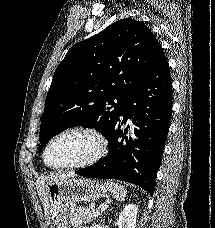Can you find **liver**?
I'll use <instances>...</instances> for the list:
<instances>
[{"label": "liver", "instance_id": "liver-1", "mask_svg": "<svg viewBox=\"0 0 215 228\" xmlns=\"http://www.w3.org/2000/svg\"><path fill=\"white\" fill-rule=\"evenodd\" d=\"M64 178H73V176H68V174H54V176H39L36 180L37 194L42 202V206L45 210V220L49 226L50 220L48 216V198L47 186L48 184H54V182H59V180H64Z\"/></svg>", "mask_w": 215, "mask_h": 228}]
</instances>
